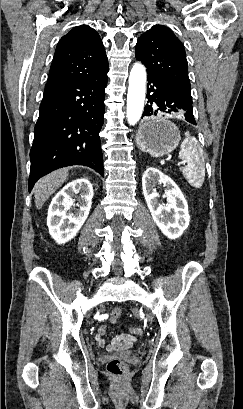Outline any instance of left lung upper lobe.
<instances>
[{
  "instance_id": "left-lung-upper-lobe-1",
  "label": "left lung upper lobe",
  "mask_w": 243,
  "mask_h": 409,
  "mask_svg": "<svg viewBox=\"0 0 243 409\" xmlns=\"http://www.w3.org/2000/svg\"><path fill=\"white\" fill-rule=\"evenodd\" d=\"M135 56L147 68L148 76L191 91L185 49L166 26L155 25L142 34L136 44Z\"/></svg>"
}]
</instances>
